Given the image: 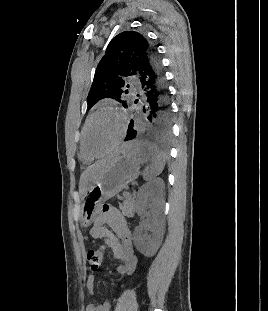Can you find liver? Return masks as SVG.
Here are the masks:
<instances>
[{"label": "liver", "mask_w": 268, "mask_h": 311, "mask_svg": "<svg viewBox=\"0 0 268 311\" xmlns=\"http://www.w3.org/2000/svg\"><path fill=\"white\" fill-rule=\"evenodd\" d=\"M115 158H108L100 160L95 164L89 166L82 174L80 178V184L85 187L89 182L94 181L114 160Z\"/></svg>", "instance_id": "liver-1"}]
</instances>
